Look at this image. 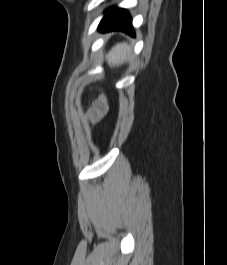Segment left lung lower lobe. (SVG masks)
<instances>
[{"label":"left lung lower lobe","instance_id":"0a47b994","mask_svg":"<svg viewBox=\"0 0 227 265\" xmlns=\"http://www.w3.org/2000/svg\"><path fill=\"white\" fill-rule=\"evenodd\" d=\"M100 31L121 30L134 36L132 19L129 13L120 8L110 9L99 24Z\"/></svg>","mask_w":227,"mask_h":265}]
</instances>
